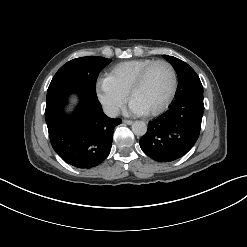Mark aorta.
<instances>
[{"instance_id":"1","label":"aorta","mask_w":247,"mask_h":247,"mask_svg":"<svg viewBox=\"0 0 247 247\" xmlns=\"http://www.w3.org/2000/svg\"><path fill=\"white\" fill-rule=\"evenodd\" d=\"M132 131L137 136H143L147 131V125L143 121H135L132 124Z\"/></svg>"}]
</instances>
